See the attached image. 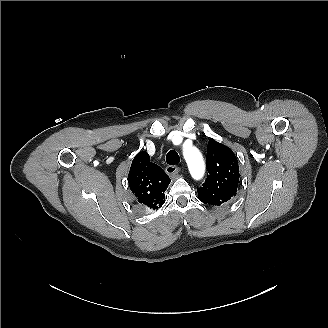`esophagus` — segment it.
<instances>
[{
    "label": "esophagus",
    "instance_id": "obj_1",
    "mask_svg": "<svg viewBox=\"0 0 328 328\" xmlns=\"http://www.w3.org/2000/svg\"><path fill=\"white\" fill-rule=\"evenodd\" d=\"M165 171L169 176L174 177L179 173L180 168L174 165H169L166 167Z\"/></svg>",
    "mask_w": 328,
    "mask_h": 328
}]
</instances>
